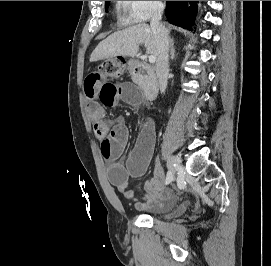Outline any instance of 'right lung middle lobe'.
Returning a JSON list of instances; mask_svg holds the SVG:
<instances>
[{
  "label": "right lung middle lobe",
  "mask_w": 271,
  "mask_h": 266,
  "mask_svg": "<svg viewBox=\"0 0 271 266\" xmlns=\"http://www.w3.org/2000/svg\"><path fill=\"white\" fill-rule=\"evenodd\" d=\"M109 5H110V1H106V4H105V10L108 9Z\"/></svg>",
  "instance_id": "dd1d6c3e"
}]
</instances>
